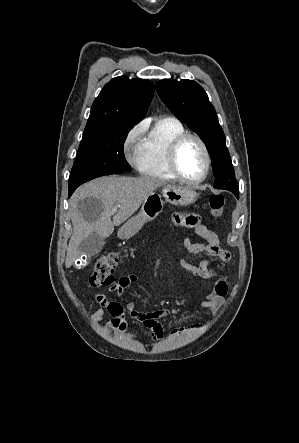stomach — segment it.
<instances>
[{"mask_svg": "<svg viewBox=\"0 0 299 443\" xmlns=\"http://www.w3.org/2000/svg\"><path fill=\"white\" fill-rule=\"evenodd\" d=\"M162 196L156 192L151 193L143 202L140 212L120 228L119 238L133 237L147 222L154 220L162 212L165 202L175 206H188L198 198L197 192L192 188L169 184L163 187Z\"/></svg>", "mask_w": 299, "mask_h": 443, "instance_id": "stomach-1", "label": "stomach"}]
</instances>
